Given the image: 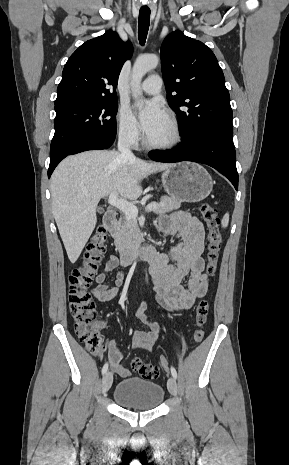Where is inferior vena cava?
<instances>
[{"instance_id":"inferior-vena-cava-1","label":"inferior vena cava","mask_w":289,"mask_h":465,"mask_svg":"<svg viewBox=\"0 0 289 465\" xmlns=\"http://www.w3.org/2000/svg\"><path fill=\"white\" fill-rule=\"evenodd\" d=\"M131 134L123 133L119 136L118 139V151L128 158H133L134 154L132 153L131 149Z\"/></svg>"}]
</instances>
